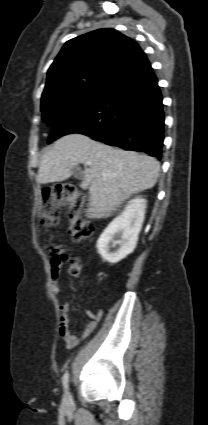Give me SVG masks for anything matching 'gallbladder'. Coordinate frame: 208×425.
I'll list each match as a JSON object with an SVG mask.
<instances>
[{"mask_svg": "<svg viewBox=\"0 0 208 425\" xmlns=\"http://www.w3.org/2000/svg\"><path fill=\"white\" fill-rule=\"evenodd\" d=\"M72 174H73L76 178H78V179H82V177H83V172H82V170H81V169H79V168H77V167H75V168H73V169H72Z\"/></svg>", "mask_w": 208, "mask_h": 425, "instance_id": "bac80fb5", "label": "gallbladder"}]
</instances>
